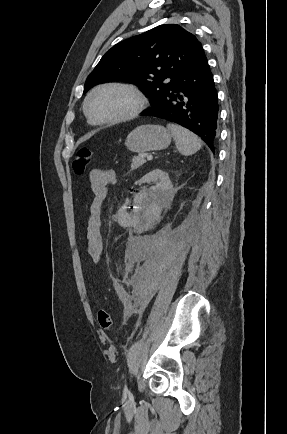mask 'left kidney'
Segmentation results:
<instances>
[{
    "label": "left kidney",
    "instance_id": "left-kidney-1",
    "mask_svg": "<svg viewBox=\"0 0 287 434\" xmlns=\"http://www.w3.org/2000/svg\"><path fill=\"white\" fill-rule=\"evenodd\" d=\"M141 182L155 185L135 195L133 212L128 213L126 206L119 210L118 219L123 226L137 225L149 210L165 206L173 195V184L165 171L153 170L142 177Z\"/></svg>",
    "mask_w": 287,
    "mask_h": 434
}]
</instances>
